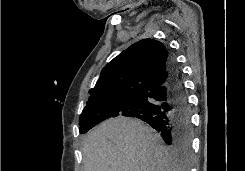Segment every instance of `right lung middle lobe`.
Listing matches in <instances>:
<instances>
[{
	"instance_id": "obj_1",
	"label": "right lung middle lobe",
	"mask_w": 245,
	"mask_h": 171,
	"mask_svg": "<svg viewBox=\"0 0 245 171\" xmlns=\"http://www.w3.org/2000/svg\"><path fill=\"white\" fill-rule=\"evenodd\" d=\"M134 97L119 95L99 101L87 102L80 116V132L85 133L101 121L116 116L123 105Z\"/></svg>"
}]
</instances>
